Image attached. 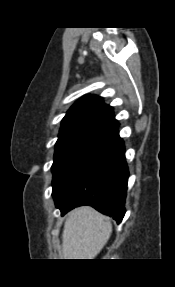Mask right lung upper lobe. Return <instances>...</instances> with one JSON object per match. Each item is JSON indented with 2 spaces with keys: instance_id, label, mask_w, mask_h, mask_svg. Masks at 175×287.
<instances>
[{
  "instance_id": "obj_1",
  "label": "right lung upper lobe",
  "mask_w": 175,
  "mask_h": 287,
  "mask_svg": "<svg viewBox=\"0 0 175 287\" xmlns=\"http://www.w3.org/2000/svg\"><path fill=\"white\" fill-rule=\"evenodd\" d=\"M92 125L117 128L119 123L114 117L112 107L106 105L101 97L85 95L69 109L62 119L60 131Z\"/></svg>"
}]
</instances>
